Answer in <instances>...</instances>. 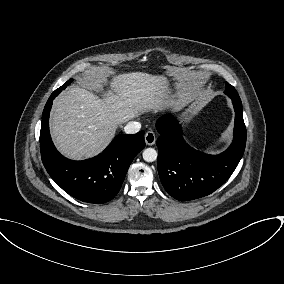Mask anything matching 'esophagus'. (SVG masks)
<instances>
[{
    "label": "esophagus",
    "mask_w": 284,
    "mask_h": 284,
    "mask_svg": "<svg viewBox=\"0 0 284 284\" xmlns=\"http://www.w3.org/2000/svg\"><path fill=\"white\" fill-rule=\"evenodd\" d=\"M155 141H156L155 133L153 131L146 132V134H145L146 144L151 146V145L155 144Z\"/></svg>",
    "instance_id": "obj_1"
}]
</instances>
